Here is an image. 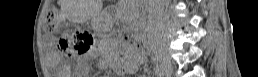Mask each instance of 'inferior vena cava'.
<instances>
[{
  "label": "inferior vena cava",
  "instance_id": "inferior-vena-cava-1",
  "mask_svg": "<svg viewBox=\"0 0 258 77\" xmlns=\"http://www.w3.org/2000/svg\"><path fill=\"white\" fill-rule=\"evenodd\" d=\"M151 8L149 10V23L154 25L163 19V0H151Z\"/></svg>",
  "mask_w": 258,
  "mask_h": 77
}]
</instances>
